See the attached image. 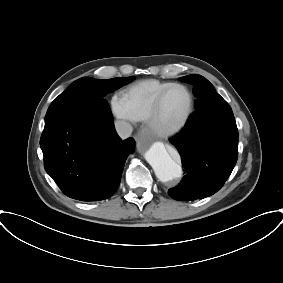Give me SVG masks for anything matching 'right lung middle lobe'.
Segmentation results:
<instances>
[{"label": "right lung middle lobe", "instance_id": "right-lung-middle-lobe-1", "mask_svg": "<svg viewBox=\"0 0 283 283\" xmlns=\"http://www.w3.org/2000/svg\"><path fill=\"white\" fill-rule=\"evenodd\" d=\"M132 80L133 77L107 80L80 78L50 104L45 120L65 113L81 115L100 108L109 111L110 108L103 97Z\"/></svg>", "mask_w": 283, "mask_h": 283}]
</instances>
